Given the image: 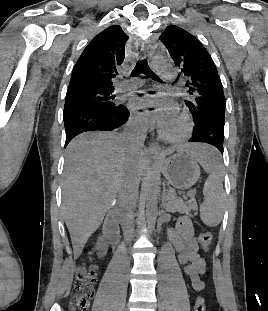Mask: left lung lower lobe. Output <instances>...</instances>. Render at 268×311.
Here are the masks:
<instances>
[{
	"label": "left lung lower lobe",
	"instance_id": "1",
	"mask_svg": "<svg viewBox=\"0 0 268 311\" xmlns=\"http://www.w3.org/2000/svg\"><path fill=\"white\" fill-rule=\"evenodd\" d=\"M209 115L214 117L211 119L205 117L195 123L193 135L189 141L203 140L204 143L215 146L223 153L225 108H218L215 111H210ZM216 118L218 121H216ZM212 122L214 124H212Z\"/></svg>",
	"mask_w": 268,
	"mask_h": 311
}]
</instances>
